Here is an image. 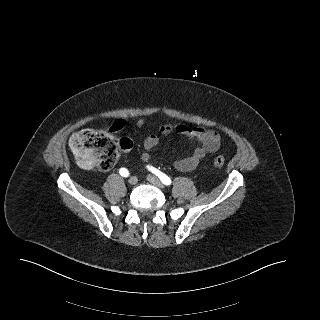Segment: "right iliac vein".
Masks as SVG:
<instances>
[{
    "mask_svg": "<svg viewBox=\"0 0 320 320\" xmlns=\"http://www.w3.org/2000/svg\"><path fill=\"white\" fill-rule=\"evenodd\" d=\"M137 178L135 176L131 177L129 180H128V183L130 185H135L137 183Z\"/></svg>",
    "mask_w": 320,
    "mask_h": 320,
    "instance_id": "1",
    "label": "right iliac vein"
}]
</instances>
